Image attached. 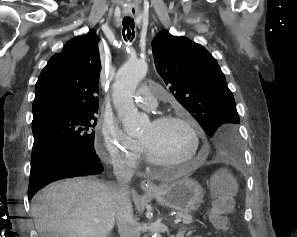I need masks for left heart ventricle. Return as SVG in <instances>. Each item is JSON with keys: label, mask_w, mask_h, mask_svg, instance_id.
Masks as SVG:
<instances>
[{"label": "left heart ventricle", "mask_w": 297, "mask_h": 237, "mask_svg": "<svg viewBox=\"0 0 297 237\" xmlns=\"http://www.w3.org/2000/svg\"><path fill=\"white\" fill-rule=\"evenodd\" d=\"M139 140L162 159L177 161L188 157L194 150L193 138L186 126L177 122H149Z\"/></svg>", "instance_id": "left-heart-ventricle-1"}]
</instances>
